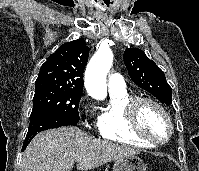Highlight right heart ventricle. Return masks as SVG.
Listing matches in <instances>:
<instances>
[{
    "label": "right heart ventricle",
    "mask_w": 199,
    "mask_h": 171,
    "mask_svg": "<svg viewBox=\"0 0 199 171\" xmlns=\"http://www.w3.org/2000/svg\"><path fill=\"white\" fill-rule=\"evenodd\" d=\"M133 98L126 89L110 91V104L98 116V133L109 141L138 147H155L154 144L135 135L129 126L127 105Z\"/></svg>",
    "instance_id": "right-heart-ventricle-1"
}]
</instances>
